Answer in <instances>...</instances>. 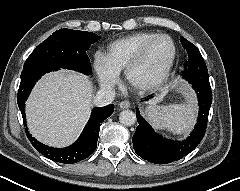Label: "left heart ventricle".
Wrapping results in <instances>:
<instances>
[{
  "instance_id": "left-heart-ventricle-1",
  "label": "left heart ventricle",
  "mask_w": 240,
  "mask_h": 191,
  "mask_svg": "<svg viewBox=\"0 0 240 191\" xmlns=\"http://www.w3.org/2000/svg\"><path fill=\"white\" fill-rule=\"evenodd\" d=\"M171 55L172 45L168 40L161 39L155 42L143 64L134 73V80L139 83L156 80L164 72Z\"/></svg>"
}]
</instances>
